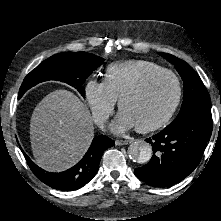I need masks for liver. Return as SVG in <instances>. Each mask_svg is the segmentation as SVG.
Returning <instances> with one entry per match:
<instances>
[{
  "label": "liver",
  "mask_w": 221,
  "mask_h": 221,
  "mask_svg": "<svg viewBox=\"0 0 221 221\" xmlns=\"http://www.w3.org/2000/svg\"><path fill=\"white\" fill-rule=\"evenodd\" d=\"M94 137L92 116L84 103L67 90H55L35 107L30 140L36 163L51 172L75 165Z\"/></svg>",
  "instance_id": "obj_1"
}]
</instances>
